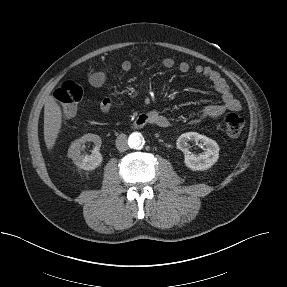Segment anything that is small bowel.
Returning <instances> with one entry per match:
<instances>
[{
    "label": "small bowel",
    "instance_id": "small-bowel-1",
    "mask_svg": "<svg viewBox=\"0 0 287 287\" xmlns=\"http://www.w3.org/2000/svg\"><path fill=\"white\" fill-rule=\"evenodd\" d=\"M161 65L166 69H171L176 65V63L173 58L164 57L161 60ZM177 67L181 73H188L193 69L196 74L206 77L221 96L220 104L205 106L200 111L199 115L192 120L193 123H197L205 119H218L227 111H239L241 109L239 100L232 94L226 80L217 70L203 65H195L192 68L186 61L180 62ZM120 68L122 71L128 72L132 68V63L129 60H124L120 64ZM110 71L111 67H107L92 72L88 77L89 84L95 88L104 86L108 80ZM112 108L113 102L110 98L106 97L101 101L100 110L103 114H109ZM147 115L151 118L152 124L158 127L166 128L173 124V120L171 118L158 110H152L148 112Z\"/></svg>",
    "mask_w": 287,
    "mask_h": 287
}]
</instances>
